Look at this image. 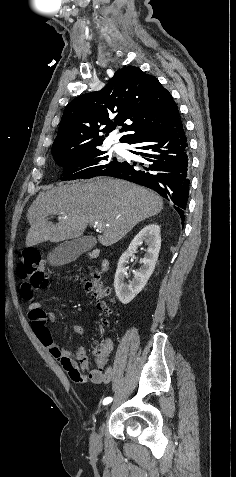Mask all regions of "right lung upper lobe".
I'll return each mask as SVG.
<instances>
[{"mask_svg":"<svg viewBox=\"0 0 236 477\" xmlns=\"http://www.w3.org/2000/svg\"><path fill=\"white\" fill-rule=\"evenodd\" d=\"M177 113L172 96L154 76L124 67L101 91L80 95L66 106L52 154L99 147L117 125L126 132L120 141L129 143L165 127Z\"/></svg>","mask_w":236,"mask_h":477,"instance_id":"right-lung-upper-lobe-1","label":"right lung upper lobe"}]
</instances>
